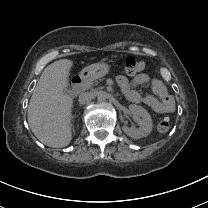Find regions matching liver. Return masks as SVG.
<instances>
[{"mask_svg": "<svg viewBox=\"0 0 208 208\" xmlns=\"http://www.w3.org/2000/svg\"><path fill=\"white\" fill-rule=\"evenodd\" d=\"M96 59V56L88 60ZM73 62L63 58L49 64L35 86L29 106L28 123L44 145L62 148L70 144L74 99L66 92Z\"/></svg>", "mask_w": 208, "mask_h": 208, "instance_id": "6515ba94", "label": "liver"}]
</instances>
